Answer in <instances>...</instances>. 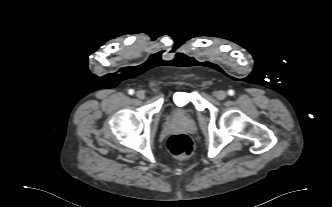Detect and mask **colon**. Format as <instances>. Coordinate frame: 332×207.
<instances>
[{
	"mask_svg": "<svg viewBox=\"0 0 332 207\" xmlns=\"http://www.w3.org/2000/svg\"><path fill=\"white\" fill-rule=\"evenodd\" d=\"M168 149L178 158H188L194 152V144L187 135L175 134L168 140Z\"/></svg>",
	"mask_w": 332,
	"mask_h": 207,
	"instance_id": "colon-1",
	"label": "colon"
}]
</instances>
